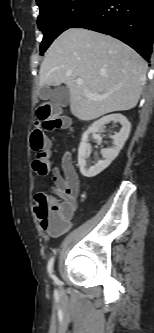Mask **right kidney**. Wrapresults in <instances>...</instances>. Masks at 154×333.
<instances>
[{"instance_id": "right-kidney-1", "label": "right kidney", "mask_w": 154, "mask_h": 333, "mask_svg": "<svg viewBox=\"0 0 154 333\" xmlns=\"http://www.w3.org/2000/svg\"><path fill=\"white\" fill-rule=\"evenodd\" d=\"M109 122H119L122 128L118 133L110 136L113 140L112 148H104L101 150L103 160L97 161L94 165L89 166L87 159L90 155L91 146L88 143V137L91 133L102 132L105 124ZM131 129V124L128 119L122 114H111L102 117L95 123H93L82 135L81 142L78 149V165L80 172L85 177H94L105 170L112 161L118 156L124 143L128 139Z\"/></svg>"}]
</instances>
